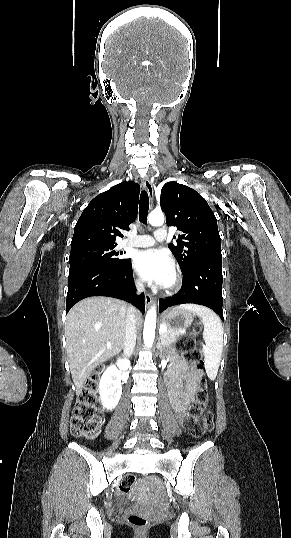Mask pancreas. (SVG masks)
<instances>
[{
	"mask_svg": "<svg viewBox=\"0 0 291 538\" xmlns=\"http://www.w3.org/2000/svg\"><path fill=\"white\" fill-rule=\"evenodd\" d=\"M179 335H180L179 332H175V331H172V330H166L165 332L160 333V339L162 340V342L165 345H170V344L176 342Z\"/></svg>",
	"mask_w": 291,
	"mask_h": 538,
	"instance_id": "obj_1",
	"label": "pancreas"
}]
</instances>
